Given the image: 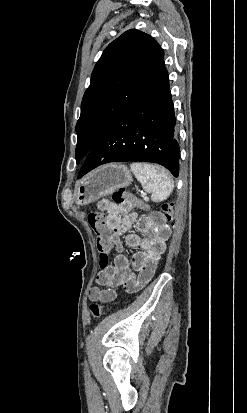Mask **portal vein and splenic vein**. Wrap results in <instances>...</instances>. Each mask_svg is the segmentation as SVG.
<instances>
[{"instance_id": "obj_1", "label": "portal vein and splenic vein", "mask_w": 247, "mask_h": 413, "mask_svg": "<svg viewBox=\"0 0 247 413\" xmlns=\"http://www.w3.org/2000/svg\"><path fill=\"white\" fill-rule=\"evenodd\" d=\"M140 196H141V197H147V196H148V193H147V192H144V191H141Z\"/></svg>"}]
</instances>
